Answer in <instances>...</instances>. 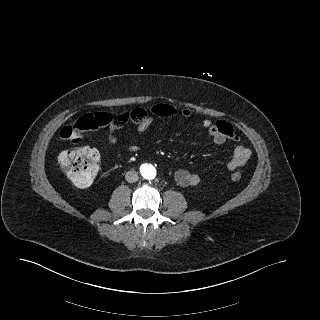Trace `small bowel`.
I'll use <instances>...</instances> for the list:
<instances>
[{
    "label": "small bowel",
    "mask_w": 320,
    "mask_h": 320,
    "mask_svg": "<svg viewBox=\"0 0 320 320\" xmlns=\"http://www.w3.org/2000/svg\"><path fill=\"white\" fill-rule=\"evenodd\" d=\"M178 115L188 119L192 117L193 113L190 109L178 110L166 103L156 104L150 109L134 108L119 115L122 119L109 126L108 141L110 144L116 145L118 141L116 131L123 128L126 124H134L136 126V132L142 134L148 130L156 118H170ZM202 126L207 130L217 146L224 145L228 140L239 141L232 126L226 121L213 122L209 119H204ZM128 149L134 153L139 150V147L137 145H130ZM250 156L251 150L244 144L238 143L235 146L233 156L227 163V168L230 171L238 169L248 161ZM174 179L176 183L182 187H194L200 182L199 175L185 169L177 170L174 174Z\"/></svg>",
    "instance_id": "c3829d8e"
}]
</instances>
